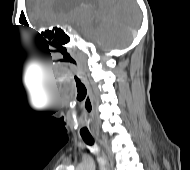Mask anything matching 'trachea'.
<instances>
[{
  "mask_svg": "<svg viewBox=\"0 0 190 170\" xmlns=\"http://www.w3.org/2000/svg\"><path fill=\"white\" fill-rule=\"evenodd\" d=\"M83 141L87 144V145H94V139L92 136H82Z\"/></svg>",
  "mask_w": 190,
  "mask_h": 170,
  "instance_id": "trachea-1",
  "label": "trachea"
}]
</instances>
